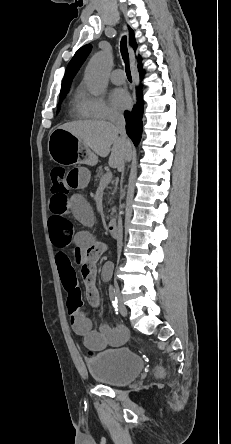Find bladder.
<instances>
[{
  "mask_svg": "<svg viewBox=\"0 0 231 444\" xmlns=\"http://www.w3.org/2000/svg\"><path fill=\"white\" fill-rule=\"evenodd\" d=\"M85 364L94 379L110 386H124L131 383L143 369L141 357L126 347L90 356Z\"/></svg>",
  "mask_w": 231,
  "mask_h": 444,
  "instance_id": "obj_1",
  "label": "bladder"
}]
</instances>
